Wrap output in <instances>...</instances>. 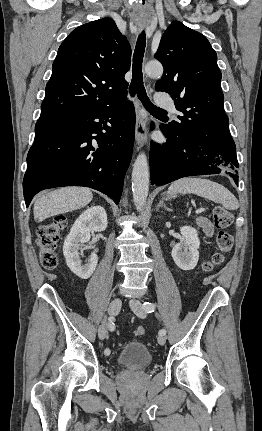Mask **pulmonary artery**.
<instances>
[{"instance_id": "e3ab8cb5", "label": "pulmonary artery", "mask_w": 262, "mask_h": 431, "mask_svg": "<svg viewBox=\"0 0 262 431\" xmlns=\"http://www.w3.org/2000/svg\"><path fill=\"white\" fill-rule=\"evenodd\" d=\"M155 100H156V104L159 107H164L170 110L173 109L174 107L172 100L169 98V96L165 95L164 93H161V92L157 93Z\"/></svg>"}]
</instances>
